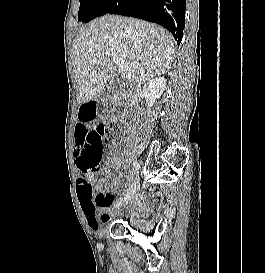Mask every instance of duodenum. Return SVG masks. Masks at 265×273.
I'll return each mask as SVG.
<instances>
[{"label": "duodenum", "mask_w": 265, "mask_h": 273, "mask_svg": "<svg viewBox=\"0 0 265 273\" xmlns=\"http://www.w3.org/2000/svg\"><path fill=\"white\" fill-rule=\"evenodd\" d=\"M113 101H114V102H118V101H119V98H114Z\"/></svg>", "instance_id": "obj_1"}]
</instances>
